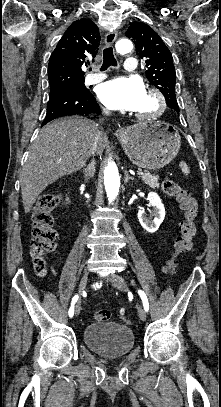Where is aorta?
<instances>
[{
	"instance_id": "762f6f07",
	"label": "aorta",
	"mask_w": 221,
	"mask_h": 407,
	"mask_svg": "<svg viewBox=\"0 0 221 407\" xmlns=\"http://www.w3.org/2000/svg\"><path fill=\"white\" fill-rule=\"evenodd\" d=\"M132 48L133 44L129 39H121L116 43V50L120 54L128 53ZM104 185L109 201H114L120 187L118 168L114 162H109L104 170Z\"/></svg>"
}]
</instances>
